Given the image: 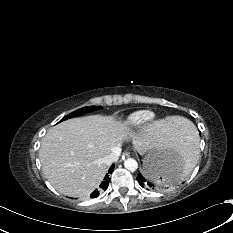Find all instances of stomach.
I'll use <instances>...</instances> for the list:
<instances>
[{
    "instance_id": "obj_1",
    "label": "stomach",
    "mask_w": 233,
    "mask_h": 233,
    "mask_svg": "<svg viewBox=\"0 0 233 233\" xmlns=\"http://www.w3.org/2000/svg\"><path fill=\"white\" fill-rule=\"evenodd\" d=\"M143 175L158 186H167L178 181L185 170L182 156L173 148L153 146L144 153Z\"/></svg>"
}]
</instances>
